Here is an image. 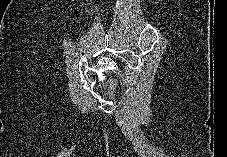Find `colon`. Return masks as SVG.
Segmentation results:
<instances>
[{"instance_id":"obj_1","label":"colon","mask_w":227,"mask_h":157,"mask_svg":"<svg viewBox=\"0 0 227 157\" xmlns=\"http://www.w3.org/2000/svg\"><path fill=\"white\" fill-rule=\"evenodd\" d=\"M115 86H116V80L115 79H111L110 84H109L110 89H114Z\"/></svg>"}]
</instances>
